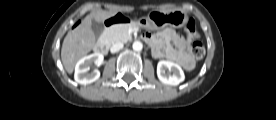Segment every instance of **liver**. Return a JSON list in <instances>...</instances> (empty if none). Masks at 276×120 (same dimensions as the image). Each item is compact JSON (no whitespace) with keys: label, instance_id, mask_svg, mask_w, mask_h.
I'll return each instance as SVG.
<instances>
[{"label":"liver","instance_id":"1","mask_svg":"<svg viewBox=\"0 0 276 120\" xmlns=\"http://www.w3.org/2000/svg\"><path fill=\"white\" fill-rule=\"evenodd\" d=\"M115 14L116 12L102 10L91 12L77 27L67 33L62 44L61 59L69 74L73 72L78 60L90 52L95 44V35L91 29L92 22H104Z\"/></svg>","mask_w":276,"mask_h":120}]
</instances>
